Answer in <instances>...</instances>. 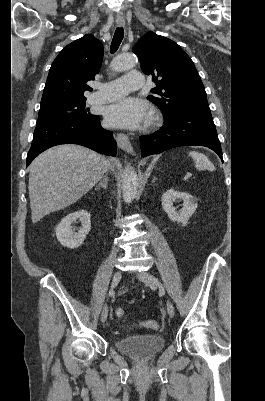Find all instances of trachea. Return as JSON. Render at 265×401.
I'll use <instances>...</instances> for the list:
<instances>
[{
  "instance_id": "3493384b",
  "label": "trachea",
  "mask_w": 265,
  "mask_h": 401,
  "mask_svg": "<svg viewBox=\"0 0 265 401\" xmlns=\"http://www.w3.org/2000/svg\"><path fill=\"white\" fill-rule=\"evenodd\" d=\"M123 37H124L123 28H117L115 30L114 37H113V40L111 42V47H110L111 48V53H114L116 50H118L119 45L121 44V42L123 40Z\"/></svg>"
}]
</instances>
